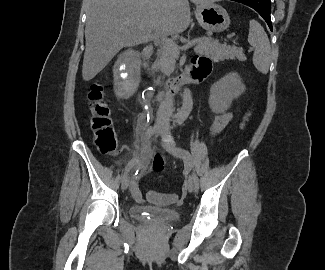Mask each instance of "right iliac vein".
Here are the masks:
<instances>
[{"mask_svg": "<svg viewBox=\"0 0 325 270\" xmlns=\"http://www.w3.org/2000/svg\"><path fill=\"white\" fill-rule=\"evenodd\" d=\"M163 129V125L161 123H157L154 127V132L153 134H157L159 132H161V130ZM129 186V179L126 178L125 180L122 181V184H121V188L123 190H126Z\"/></svg>", "mask_w": 325, "mask_h": 270, "instance_id": "obj_1", "label": "right iliac vein"}]
</instances>
